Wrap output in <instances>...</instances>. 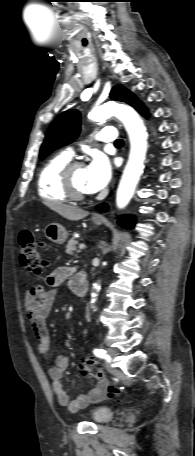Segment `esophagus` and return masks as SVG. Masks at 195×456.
<instances>
[{
	"instance_id": "obj_1",
	"label": "esophagus",
	"mask_w": 195,
	"mask_h": 456,
	"mask_svg": "<svg viewBox=\"0 0 195 456\" xmlns=\"http://www.w3.org/2000/svg\"><path fill=\"white\" fill-rule=\"evenodd\" d=\"M94 219H97V220H102V219H103V217H102L101 215H95V216H94Z\"/></svg>"
}]
</instances>
